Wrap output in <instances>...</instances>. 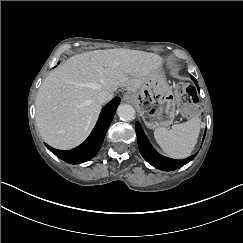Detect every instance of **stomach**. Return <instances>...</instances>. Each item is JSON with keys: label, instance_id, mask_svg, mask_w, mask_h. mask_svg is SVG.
Masks as SVG:
<instances>
[{"label": "stomach", "instance_id": "0dacf381", "mask_svg": "<svg viewBox=\"0 0 243 243\" xmlns=\"http://www.w3.org/2000/svg\"><path fill=\"white\" fill-rule=\"evenodd\" d=\"M130 100L149 129L165 128L172 124L176 101L161 67L138 90L132 92Z\"/></svg>", "mask_w": 243, "mask_h": 243}]
</instances>
